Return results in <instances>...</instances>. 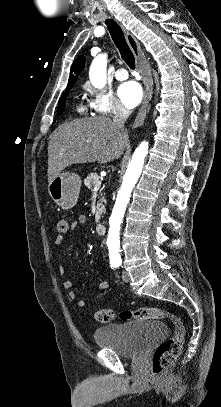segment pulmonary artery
Here are the masks:
<instances>
[{
    "mask_svg": "<svg viewBox=\"0 0 221 407\" xmlns=\"http://www.w3.org/2000/svg\"><path fill=\"white\" fill-rule=\"evenodd\" d=\"M115 78L119 81L126 80L128 78L127 70L123 67L118 68L115 72Z\"/></svg>",
    "mask_w": 221,
    "mask_h": 407,
    "instance_id": "obj_1",
    "label": "pulmonary artery"
}]
</instances>
